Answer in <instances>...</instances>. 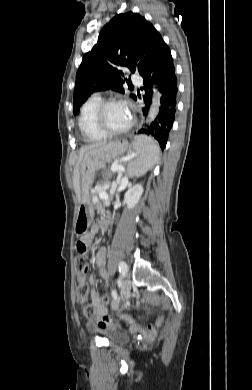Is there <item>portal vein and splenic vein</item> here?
<instances>
[{
	"label": "portal vein and splenic vein",
	"mask_w": 252,
	"mask_h": 390,
	"mask_svg": "<svg viewBox=\"0 0 252 390\" xmlns=\"http://www.w3.org/2000/svg\"><path fill=\"white\" fill-rule=\"evenodd\" d=\"M131 157H123L122 159H120V162H125V161H128L130 160ZM111 171L112 172H116V171H124V167L118 162V161H115L112 166H111ZM116 188V184L115 185H112V189H115ZM100 197H103V198H106L108 197V195L106 193H102L100 194Z\"/></svg>",
	"instance_id": "18ae733b"
}]
</instances>
